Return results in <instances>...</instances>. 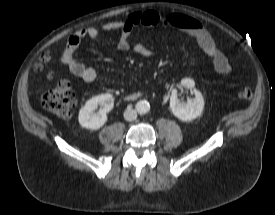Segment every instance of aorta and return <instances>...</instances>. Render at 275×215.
Returning a JSON list of instances; mask_svg holds the SVG:
<instances>
[{"label": "aorta", "instance_id": "762f6f07", "mask_svg": "<svg viewBox=\"0 0 275 215\" xmlns=\"http://www.w3.org/2000/svg\"><path fill=\"white\" fill-rule=\"evenodd\" d=\"M136 110L140 114H145L150 110V104L147 101H139L136 104Z\"/></svg>", "mask_w": 275, "mask_h": 215}]
</instances>
